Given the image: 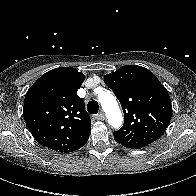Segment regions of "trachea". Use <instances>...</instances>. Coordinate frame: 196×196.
Instances as JSON below:
<instances>
[{
	"mask_svg": "<svg viewBox=\"0 0 196 196\" xmlns=\"http://www.w3.org/2000/svg\"><path fill=\"white\" fill-rule=\"evenodd\" d=\"M87 110H88V112L91 113V114H97L98 111H99L98 102L95 101V100L90 101V102L87 104Z\"/></svg>",
	"mask_w": 196,
	"mask_h": 196,
	"instance_id": "1",
	"label": "trachea"
}]
</instances>
